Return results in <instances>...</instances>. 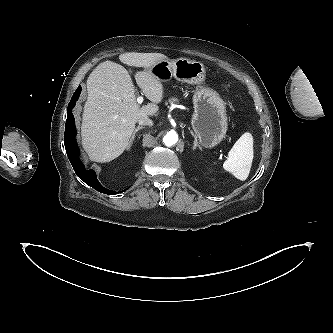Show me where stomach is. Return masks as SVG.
Returning <instances> with one entry per match:
<instances>
[{"label": "stomach", "instance_id": "stomach-1", "mask_svg": "<svg viewBox=\"0 0 333 333\" xmlns=\"http://www.w3.org/2000/svg\"><path fill=\"white\" fill-rule=\"evenodd\" d=\"M148 71L160 82L169 81L173 76L178 81L200 85L193 96L192 128L200 144L206 148L223 140L228 128L225 103L216 91L202 86L206 77L203 63L187 58L162 59Z\"/></svg>", "mask_w": 333, "mask_h": 333}]
</instances>
